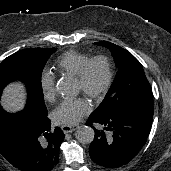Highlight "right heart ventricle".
I'll list each match as a JSON object with an SVG mask.
<instances>
[{"label": "right heart ventricle", "instance_id": "1", "mask_svg": "<svg viewBox=\"0 0 171 171\" xmlns=\"http://www.w3.org/2000/svg\"><path fill=\"white\" fill-rule=\"evenodd\" d=\"M89 59L90 56L86 53L68 51L57 60L56 66L62 74L76 77Z\"/></svg>", "mask_w": 171, "mask_h": 171}]
</instances>
